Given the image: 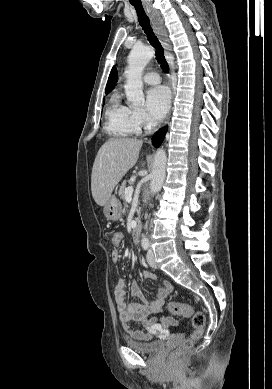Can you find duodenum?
<instances>
[{
  "label": "duodenum",
  "instance_id": "obj_1",
  "mask_svg": "<svg viewBox=\"0 0 272 389\" xmlns=\"http://www.w3.org/2000/svg\"><path fill=\"white\" fill-rule=\"evenodd\" d=\"M141 234V225L139 222H136L131 230V237L134 242H138L140 240Z\"/></svg>",
  "mask_w": 272,
  "mask_h": 389
}]
</instances>
